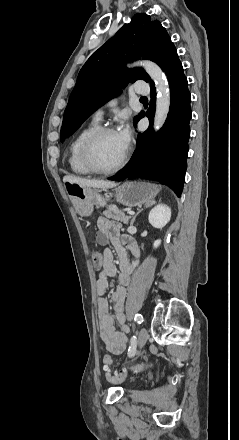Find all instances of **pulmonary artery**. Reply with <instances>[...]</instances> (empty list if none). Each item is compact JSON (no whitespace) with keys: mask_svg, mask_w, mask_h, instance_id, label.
Listing matches in <instances>:
<instances>
[{"mask_svg":"<svg viewBox=\"0 0 239 440\" xmlns=\"http://www.w3.org/2000/svg\"><path fill=\"white\" fill-rule=\"evenodd\" d=\"M135 91L137 92V93H143L144 91L141 89V88H139L137 85H135ZM116 104V102H114V101H111V102H109L108 103V105L109 106H114ZM103 114H104V110L103 109H97L95 112H94V114H93V120L95 121V122H99V121H101L102 120V117H103Z\"/></svg>","mask_w":239,"mask_h":440,"instance_id":"pulmonary-artery-1","label":"pulmonary artery"}]
</instances>
